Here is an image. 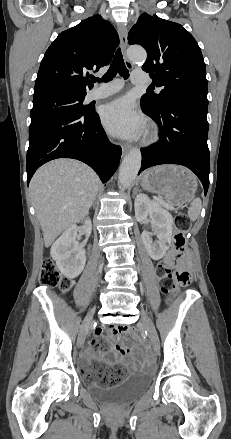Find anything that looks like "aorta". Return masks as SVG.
<instances>
[{
    "label": "aorta",
    "mask_w": 231,
    "mask_h": 439,
    "mask_svg": "<svg viewBox=\"0 0 231 439\" xmlns=\"http://www.w3.org/2000/svg\"><path fill=\"white\" fill-rule=\"evenodd\" d=\"M128 58L133 62H145L146 51L141 47H130L127 51ZM142 155L139 149H132L124 158L120 170L118 183L120 188L126 189L135 180L141 167Z\"/></svg>",
    "instance_id": "762f6f07"
}]
</instances>
